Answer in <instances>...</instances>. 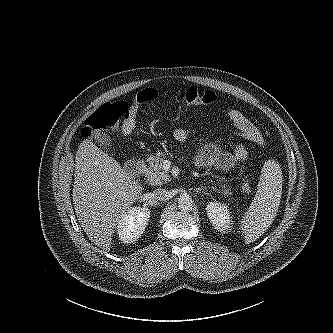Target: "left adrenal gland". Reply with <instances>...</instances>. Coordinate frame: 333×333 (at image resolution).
Masks as SVG:
<instances>
[{"label":"left adrenal gland","instance_id":"1","mask_svg":"<svg viewBox=\"0 0 333 333\" xmlns=\"http://www.w3.org/2000/svg\"><path fill=\"white\" fill-rule=\"evenodd\" d=\"M207 191V188H204V187H201V188H195L194 191L197 192V193H200L201 191Z\"/></svg>","mask_w":333,"mask_h":333}]
</instances>
